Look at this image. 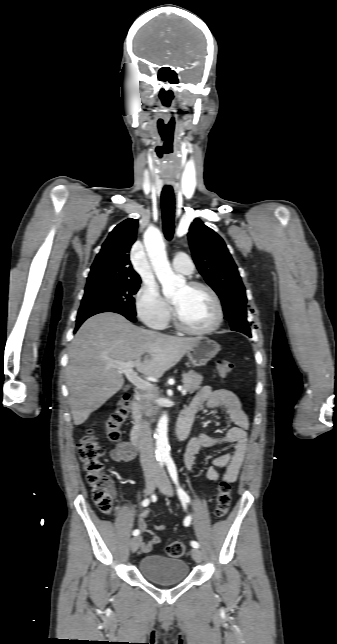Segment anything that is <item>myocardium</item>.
<instances>
[{"label":"myocardium","instance_id":"f54148a6","mask_svg":"<svg viewBox=\"0 0 337 644\" xmlns=\"http://www.w3.org/2000/svg\"><path fill=\"white\" fill-rule=\"evenodd\" d=\"M188 288L194 289V288H202L205 289L212 297L215 307H216V318L211 326L208 328L202 329V330H196L188 327L180 318L178 315L175 307L173 306L172 308V319L174 322V325L176 328L186 334L189 335H194V336H206L214 333L216 330L220 328V326L223 323L224 319V310H223V305L221 302V299L217 292L207 283L201 282V281H190L187 284Z\"/></svg>","mask_w":337,"mask_h":644}]
</instances>
